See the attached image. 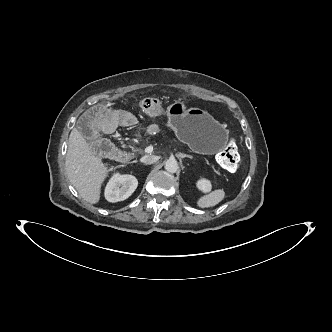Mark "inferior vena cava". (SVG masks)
<instances>
[{
    "mask_svg": "<svg viewBox=\"0 0 332 332\" xmlns=\"http://www.w3.org/2000/svg\"><path fill=\"white\" fill-rule=\"evenodd\" d=\"M159 157L154 155H145L142 157V161L145 164H153L158 161Z\"/></svg>",
    "mask_w": 332,
    "mask_h": 332,
    "instance_id": "1",
    "label": "inferior vena cava"
}]
</instances>
